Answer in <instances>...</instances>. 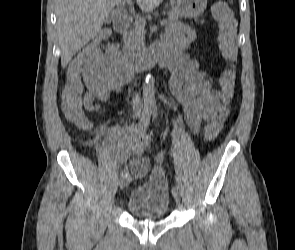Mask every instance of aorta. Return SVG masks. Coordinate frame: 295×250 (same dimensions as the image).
Instances as JSON below:
<instances>
[{
	"label": "aorta",
	"mask_w": 295,
	"mask_h": 250,
	"mask_svg": "<svg viewBox=\"0 0 295 250\" xmlns=\"http://www.w3.org/2000/svg\"><path fill=\"white\" fill-rule=\"evenodd\" d=\"M143 100L146 107L155 106V91L153 78L148 75L143 85Z\"/></svg>",
	"instance_id": "762f6f07"
}]
</instances>
